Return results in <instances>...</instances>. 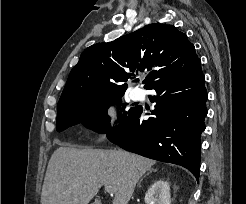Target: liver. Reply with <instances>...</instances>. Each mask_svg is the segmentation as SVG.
Here are the masks:
<instances>
[{"instance_id": "1", "label": "liver", "mask_w": 246, "mask_h": 204, "mask_svg": "<svg viewBox=\"0 0 246 204\" xmlns=\"http://www.w3.org/2000/svg\"><path fill=\"white\" fill-rule=\"evenodd\" d=\"M154 160L122 150L59 147L52 154L41 204H88L103 185L112 186V204H128Z\"/></svg>"}]
</instances>
